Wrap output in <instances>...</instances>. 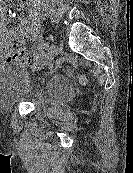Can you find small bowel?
I'll list each match as a JSON object with an SVG mask.
<instances>
[{
  "mask_svg": "<svg viewBox=\"0 0 133 173\" xmlns=\"http://www.w3.org/2000/svg\"><path fill=\"white\" fill-rule=\"evenodd\" d=\"M22 6H30L27 17L21 19V26L6 28L4 13L0 8V56L5 54L8 42L13 37H20L27 41L35 40L40 33V17L38 0H22ZM33 61L37 60L36 54H31Z\"/></svg>",
  "mask_w": 133,
  "mask_h": 173,
  "instance_id": "obj_1",
  "label": "small bowel"
}]
</instances>
